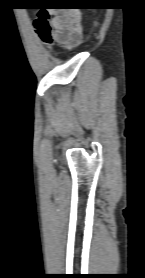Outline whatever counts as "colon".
Here are the masks:
<instances>
[{"label": "colon", "mask_w": 145, "mask_h": 278, "mask_svg": "<svg viewBox=\"0 0 145 278\" xmlns=\"http://www.w3.org/2000/svg\"><path fill=\"white\" fill-rule=\"evenodd\" d=\"M62 8L75 9V10H84L87 6L83 3H64L59 5ZM36 13V19L34 20V27L41 38L45 43L50 42L52 38V33L54 29L52 10L53 6L47 7H38Z\"/></svg>", "instance_id": "colon-1"}]
</instances>
